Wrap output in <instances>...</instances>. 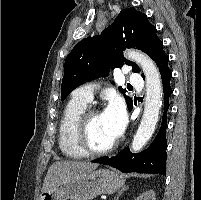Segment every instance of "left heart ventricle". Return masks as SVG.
<instances>
[{"label":"left heart ventricle","instance_id":"1","mask_svg":"<svg viewBox=\"0 0 201 200\" xmlns=\"http://www.w3.org/2000/svg\"><path fill=\"white\" fill-rule=\"evenodd\" d=\"M87 142L94 149H102L112 144L115 139L103 113L94 116L87 127Z\"/></svg>","mask_w":201,"mask_h":200}]
</instances>
